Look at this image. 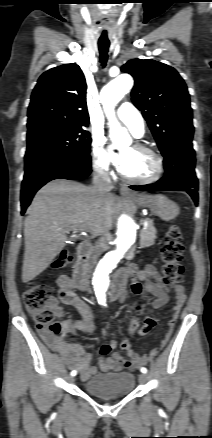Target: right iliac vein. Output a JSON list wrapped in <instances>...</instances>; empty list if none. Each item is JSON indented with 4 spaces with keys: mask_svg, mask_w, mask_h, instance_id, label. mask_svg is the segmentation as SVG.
<instances>
[{
    "mask_svg": "<svg viewBox=\"0 0 212 438\" xmlns=\"http://www.w3.org/2000/svg\"><path fill=\"white\" fill-rule=\"evenodd\" d=\"M74 380H75L74 377H69L70 382H73Z\"/></svg>",
    "mask_w": 212,
    "mask_h": 438,
    "instance_id": "1",
    "label": "right iliac vein"
}]
</instances>
